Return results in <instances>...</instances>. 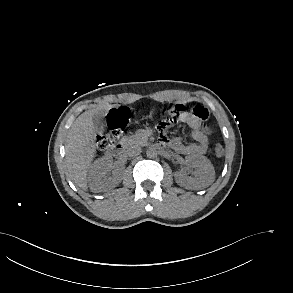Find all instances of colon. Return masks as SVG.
<instances>
[{"label": "colon", "mask_w": 293, "mask_h": 293, "mask_svg": "<svg viewBox=\"0 0 293 293\" xmlns=\"http://www.w3.org/2000/svg\"><path fill=\"white\" fill-rule=\"evenodd\" d=\"M186 111V106L182 103H169L162 108L165 119L158 125V131L161 139H169L167 135L168 129L174 124L175 120ZM192 114L201 122L209 117L208 109L203 105H195L191 108ZM128 119V112L121 108L111 111L107 116L108 128L100 134L98 144L102 149L114 146L120 138L122 131ZM214 152L217 156H222L224 149L221 144H216Z\"/></svg>", "instance_id": "1"}]
</instances>
